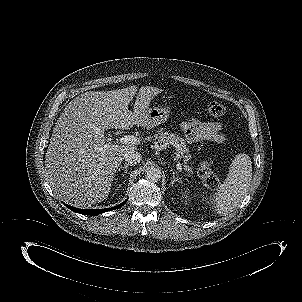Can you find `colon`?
<instances>
[{
	"mask_svg": "<svg viewBox=\"0 0 302 302\" xmlns=\"http://www.w3.org/2000/svg\"><path fill=\"white\" fill-rule=\"evenodd\" d=\"M209 114L213 117H221L225 114V106L219 102H211L208 106ZM199 174L203 180V183L211 189L217 188L219 180L211 169V165L208 162H203L199 169Z\"/></svg>",
	"mask_w": 302,
	"mask_h": 302,
	"instance_id": "obj_1",
	"label": "colon"
}]
</instances>
